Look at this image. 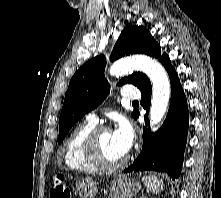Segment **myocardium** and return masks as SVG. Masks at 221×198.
Segmentation results:
<instances>
[{
    "mask_svg": "<svg viewBox=\"0 0 221 198\" xmlns=\"http://www.w3.org/2000/svg\"><path fill=\"white\" fill-rule=\"evenodd\" d=\"M108 131H110V128L107 126L95 127L86 139L85 149L88 159L99 170L115 171L124 167L129 157L125 155L121 160L116 162H109L104 158L100 148V136Z\"/></svg>",
    "mask_w": 221,
    "mask_h": 198,
    "instance_id": "obj_1",
    "label": "myocardium"
}]
</instances>
